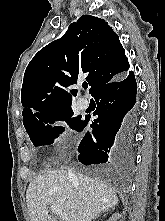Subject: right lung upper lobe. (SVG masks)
Listing matches in <instances>:
<instances>
[{"label":"right lung upper lobe","instance_id":"obj_1","mask_svg":"<svg viewBox=\"0 0 165 221\" xmlns=\"http://www.w3.org/2000/svg\"><path fill=\"white\" fill-rule=\"evenodd\" d=\"M128 69L125 50L108 23L91 15L81 16L27 66L21 90L23 124L71 107L77 90L69 92L68 88L79 77L86 76L93 95L101 86L126 76Z\"/></svg>","mask_w":165,"mask_h":221}]
</instances>
